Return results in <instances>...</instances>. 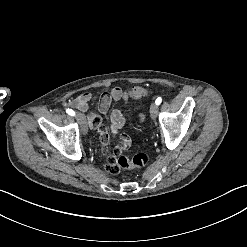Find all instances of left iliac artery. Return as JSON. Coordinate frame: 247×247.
<instances>
[{
  "label": "left iliac artery",
  "mask_w": 247,
  "mask_h": 247,
  "mask_svg": "<svg viewBox=\"0 0 247 247\" xmlns=\"http://www.w3.org/2000/svg\"><path fill=\"white\" fill-rule=\"evenodd\" d=\"M162 102V98L158 97L155 101L156 105H160V103Z\"/></svg>",
  "instance_id": "obj_1"
}]
</instances>
